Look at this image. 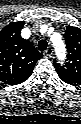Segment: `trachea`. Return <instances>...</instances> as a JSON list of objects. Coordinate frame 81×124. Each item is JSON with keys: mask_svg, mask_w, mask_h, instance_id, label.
<instances>
[{"mask_svg": "<svg viewBox=\"0 0 81 124\" xmlns=\"http://www.w3.org/2000/svg\"><path fill=\"white\" fill-rule=\"evenodd\" d=\"M47 45H48L47 41L42 39L38 42L37 46L39 51H45L47 49Z\"/></svg>", "mask_w": 81, "mask_h": 124, "instance_id": "obj_1", "label": "trachea"}]
</instances>
